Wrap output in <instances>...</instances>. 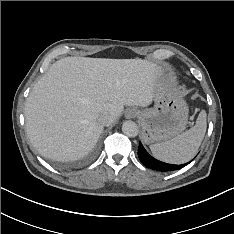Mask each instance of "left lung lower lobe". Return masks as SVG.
I'll list each match as a JSON object with an SVG mask.
<instances>
[{
	"instance_id": "0a47b994",
	"label": "left lung lower lobe",
	"mask_w": 234,
	"mask_h": 234,
	"mask_svg": "<svg viewBox=\"0 0 234 234\" xmlns=\"http://www.w3.org/2000/svg\"><path fill=\"white\" fill-rule=\"evenodd\" d=\"M138 157L140 161L148 168L155 169L158 171H173L178 170L186 166L188 163L181 164V165H173V164H167L164 162H161L152 156H150L147 151L144 149L143 145L139 143L138 146Z\"/></svg>"
}]
</instances>
